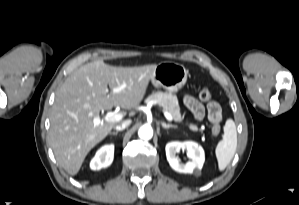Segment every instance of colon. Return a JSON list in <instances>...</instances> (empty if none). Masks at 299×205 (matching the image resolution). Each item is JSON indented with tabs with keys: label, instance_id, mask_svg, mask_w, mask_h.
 <instances>
[{
	"label": "colon",
	"instance_id": "5ec220e1",
	"mask_svg": "<svg viewBox=\"0 0 299 205\" xmlns=\"http://www.w3.org/2000/svg\"><path fill=\"white\" fill-rule=\"evenodd\" d=\"M199 98L203 101H209L212 98V94L208 88H202L199 92ZM209 118L212 122V134L218 136L221 131V112L218 109L213 108L209 111Z\"/></svg>",
	"mask_w": 299,
	"mask_h": 205
}]
</instances>
